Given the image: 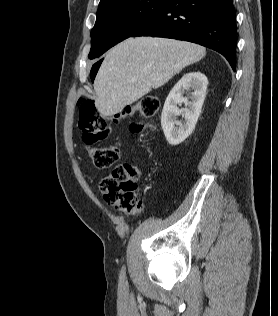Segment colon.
<instances>
[{
  "mask_svg": "<svg viewBox=\"0 0 278 316\" xmlns=\"http://www.w3.org/2000/svg\"><path fill=\"white\" fill-rule=\"evenodd\" d=\"M159 109V99L151 95L146 96L134 108L116 116L111 122L96 110L91 100L84 99L79 104V128L85 144L90 147L89 153L93 164L100 169H111L101 181L100 191L104 200L120 211L136 214L142 209L138 172L130 164H116L121 155L118 145H93L111 135L113 123L118 124L129 117L152 119L158 114ZM147 126L152 127L133 122L130 129L134 133H139Z\"/></svg>",
  "mask_w": 278,
  "mask_h": 316,
  "instance_id": "1",
  "label": "colon"
}]
</instances>
